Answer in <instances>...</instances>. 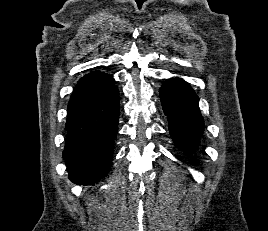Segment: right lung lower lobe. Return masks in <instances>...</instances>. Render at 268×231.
I'll return each instance as SVG.
<instances>
[{"label": "right lung lower lobe", "instance_id": "obj_1", "mask_svg": "<svg viewBox=\"0 0 268 231\" xmlns=\"http://www.w3.org/2000/svg\"><path fill=\"white\" fill-rule=\"evenodd\" d=\"M119 92L112 76L82 77L68 102L63 157L76 184L97 183L110 169L118 132Z\"/></svg>", "mask_w": 268, "mask_h": 231}]
</instances>
